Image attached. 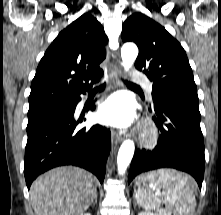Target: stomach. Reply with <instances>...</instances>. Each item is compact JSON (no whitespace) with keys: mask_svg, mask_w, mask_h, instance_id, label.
Returning <instances> with one entry per match:
<instances>
[{"mask_svg":"<svg viewBox=\"0 0 221 215\" xmlns=\"http://www.w3.org/2000/svg\"><path fill=\"white\" fill-rule=\"evenodd\" d=\"M161 172H162V170H160V171H158V172H152V173L145 174V175L143 176V179L139 180L140 186H141V187L144 186L146 189H150L149 186H150L152 180H153L154 182H156V181L158 180L159 176L161 175ZM149 175L152 176V180L149 179Z\"/></svg>","mask_w":221,"mask_h":215,"instance_id":"stomach-1","label":"stomach"}]
</instances>
